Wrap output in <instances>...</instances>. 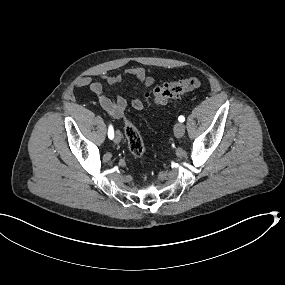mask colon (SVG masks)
Segmentation results:
<instances>
[{
  "instance_id": "1",
  "label": "colon",
  "mask_w": 285,
  "mask_h": 285,
  "mask_svg": "<svg viewBox=\"0 0 285 285\" xmlns=\"http://www.w3.org/2000/svg\"><path fill=\"white\" fill-rule=\"evenodd\" d=\"M201 81L196 77H189L176 82H169L155 87L152 91L153 104L163 105L169 100L177 99L186 92L195 90L201 86ZM128 148L135 157H141L145 153V144L137 127L128 119L124 125Z\"/></svg>"
}]
</instances>
